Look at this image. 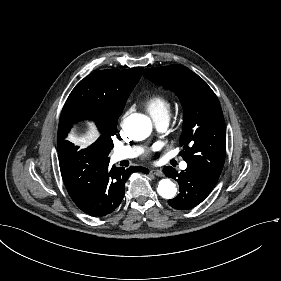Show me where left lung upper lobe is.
I'll use <instances>...</instances> for the list:
<instances>
[{
    "instance_id": "obj_1",
    "label": "left lung upper lobe",
    "mask_w": 281,
    "mask_h": 281,
    "mask_svg": "<svg viewBox=\"0 0 281 281\" xmlns=\"http://www.w3.org/2000/svg\"><path fill=\"white\" fill-rule=\"evenodd\" d=\"M147 79L175 92L184 108L180 155L189 165L197 166L219 178L226 151L225 122L220 103L198 75L183 65L145 69Z\"/></svg>"
}]
</instances>
